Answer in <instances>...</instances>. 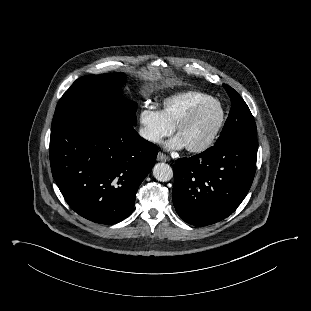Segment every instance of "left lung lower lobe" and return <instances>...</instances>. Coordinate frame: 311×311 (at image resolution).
<instances>
[{
    "instance_id": "1",
    "label": "left lung lower lobe",
    "mask_w": 311,
    "mask_h": 311,
    "mask_svg": "<svg viewBox=\"0 0 311 311\" xmlns=\"http://www.w3.org/2000/svg\"><path fill=\"white\" fill-rule=\"evenodd\" d=\"M257 149V139H235L176 160L172 197L181 219L199 227L232 214L253 182Z\"/></svg>"
}]
</instances>
